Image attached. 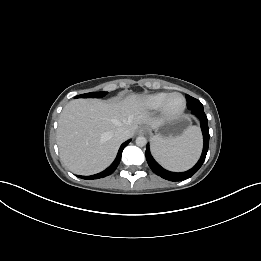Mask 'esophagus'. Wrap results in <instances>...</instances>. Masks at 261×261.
<instances>
[{"label":"esophagus","mask_w":261,"mask_h":261,"mask_svg":"<svg viewBox=\"0 0 261 261\" xmlns=\"http://www.w3.org/2000/svg\"><path fill=\"white\" fill-rule=\"evenodd\" d=\"M146 132V127L142 126L138 129L139 134H144Z\"/></svg>","instance_id":"34e87169"}]
</instances>
